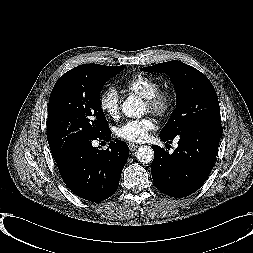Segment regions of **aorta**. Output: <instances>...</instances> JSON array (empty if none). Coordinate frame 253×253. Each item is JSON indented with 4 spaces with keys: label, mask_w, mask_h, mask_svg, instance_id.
<instances>
[{
    "label": "aorta",
    "mask_w": 253,
    "mask_h": 253,
    "mask_svg": "<svg viewBox=\"0 0 253 253\" xmlns=\"http://www.w3.org/2000/svg\"><path fill=\"white\" fill-rule=\"evenodd\" d=\"M121 110L125 116L139 118L144 113L142 100L137 96H129L121 105ZM136 158L143 164L150 163L154 158V151L149 146L140 147L135 153Z\"/></svg>",
    "instance_id": "1"
}]
</instances>
